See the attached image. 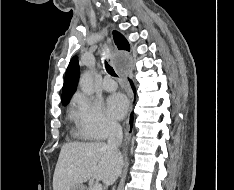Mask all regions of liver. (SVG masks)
<instances>
[{
	"label": "liver",
	"mask_w": 234,
	"mask_h": 190,
	"mask_svg": "<svg viewBox=\"0 0 234 190\" xmlns=\"http://www.w3.org/2000/svg\"><path fill=\"white\" fill-rule=\"evenodd\" d=\"M123 166V158L116 157L102 142H70L62 146L53 175V190H70L89 179L112 184Z\"/></svg>",
	"instance_id": "6515ba94"
}]
</instances>
